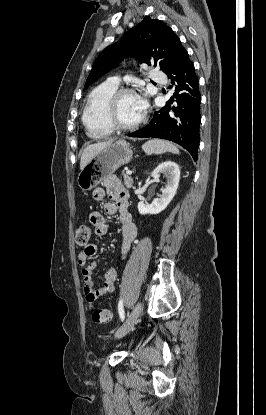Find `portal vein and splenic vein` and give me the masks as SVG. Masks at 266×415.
I'll return each instance as SVG.
<instances>
[{
	"label": "portal vein and splenic vein",
	"mask_w": 266,
	"mask_h": 415,
	"mask_svg": "<svg viewBox=\"0 0 266 415\" xmlns=\"http://www.w3.org/2000/svg\"><path fill=\"white\" fill-rule=\"evenodd\" d=\"M126 174L130 175V174H132V171L127 169Z\"/></svg>",
	"instance_id": "obj_1"
}]
</instances>
